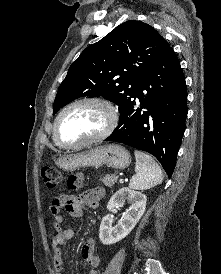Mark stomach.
Wrapping results in <instances>:
<instances>
[{"instance_id": "1", "label": "stomach", "mask_w": 221, "mask_h": 274, "mask_svg": "<svg viewBox=\"0 0 221 274\" xmlns=\"http://www.w3.org/2000/svg\"><path fill=\"white\" fill-rule=\"evenodd\" d=\"M130 162L129 152L124 147L115 144L97 146L55 160V164L64 171L90 166L99 168L102 165L115 169H125L130 165Z\"/></svg>"}]
</instances>
